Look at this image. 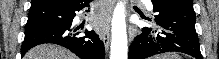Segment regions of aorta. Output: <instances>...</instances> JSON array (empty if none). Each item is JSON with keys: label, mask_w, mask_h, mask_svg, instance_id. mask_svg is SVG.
Segmentation results:
<instances>
[{"label": "aorta", "mask_w": 219, "mask_h": 59, "mask_svg": "<svg viewBox=\"0 0 219 59\" xmlns=\"http://www.w3.org/2000/svg\"><path fill=\"white\" fill-rule=\"evenodd\" d=\"M112 38L110 59H127L128 42L126 31L125 6L119 1L114 9L112 17Z\"/></svg>", "instance_id": "1"}]
</instances>
